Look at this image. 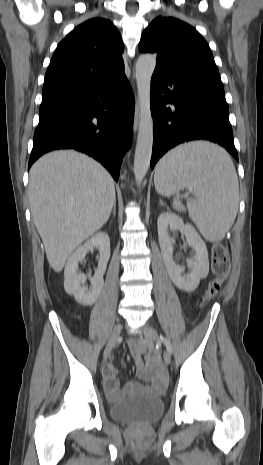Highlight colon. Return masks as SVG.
Returning <instances> with one entry per match:
<instances>
[{
    "label": "colon",
    "instance_id": "5ec220e1",
    "mask_svg": "<svg viewBox=\"0 0 263 465\" xmlns=\"http://www.w3.org/2000/svg\"><path fill=\"white\" fill-rule=\"evenodd\" d=\"M211 268L213 278L204 292L203 301L205 302L214 298L220 292L230 272L228 252L225 246L220 243H216L212 247Z\"/></svg>",
    "mask_w": 263,
    "mask_h": 465
}]
</instances>
